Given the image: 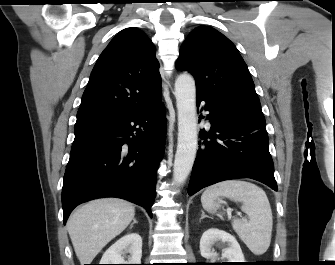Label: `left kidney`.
Instances as JSON below:
<instances>
[{
  "label": "left kidney",
  "mask_w": 335,
  "mask_h": 265,
  "mask_svg": "<svg viewBox=\"0 0 335 265\" xmlns=\"http://www.w3.org/2000/svg\"><path fill=\"white\" fill-rule=\"evenodd\" d=\"M219 241L227 244V248L222 250V258H226L228 262H244V255L236 238L217 228H210L203 233L200 239L201 256L215 262L218 254L212 250V247Z\"/></svg>",
  "instance_id": "1"
}]
</instances>
